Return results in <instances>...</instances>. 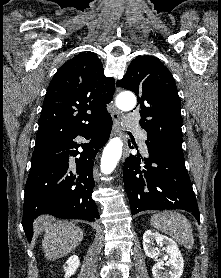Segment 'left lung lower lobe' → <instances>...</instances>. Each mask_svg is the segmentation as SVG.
Masks as SVG:
<instances>
[{
	"label": "left lung lower lobe",
	"mask_w": 221,
	"mask_h": 278,
	"mask_svg": "<svg viewBox=\"0 0 221 278\" xmlns=\"http://www.w3.org/2000/svg\"><path fill=\"white\" fill-rule=\"evenodd\" d=\"M146 143L149 158L144 159L145 166L140 168V158L130 155L123 168L132 215L145 210L183 209L200 222L182 142L162 139Z\"/></svg>",
	"instance_id": "0a47b994"
}]
</instances>
